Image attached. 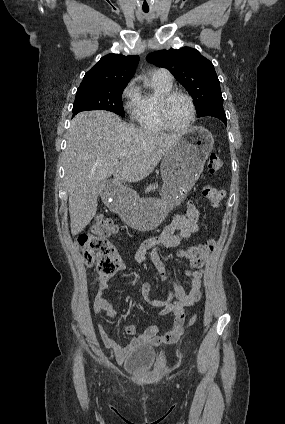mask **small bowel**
<instances>
[{
  "instance_id": "1",
  "label": "small bowel",
  "mask_w": 285,
  "mask_h": 424,
  "mask_svg": "<svg viewBox=\"0 0 285 424\" xmlns=\"http://www.w3.org/2000/svg\"><path fill=\"white\" fill-rule=\"evenodd\" d=\"M200 213L193 202L188 203L186 214H174L171 222L163 229L158 236L150 237L144 240L135 252V260L140 263L148 261L147 253L150 252V261L155 267L159 278L167 282L170 286L168 298L166 301L156 300L151 297V286L144 283L140 287V293L143 300L152 307H161L160 315L175 317L172 328L164 335H158L157 326H149L139 335H135V330L131 327H124L125 331L132 336L128 345L118 344L111 334L106 330L103 324H99V334L104 346L109 349L116 357L119 363H123L127 354L134 348L150 345L159 346L176 341L184 331V310L192 306L201 298V286L204 276L203 264L195 266L194 270H185L184 276L188 280L189 289L170 279L171 271L164 265L160 259V250L162 248H173L178 246L183 239L189 238L199 231ZM121 261V268L125 269V264ZM96 289V295L93 301V313L95 315H105L116 319L118 313L113 304L107 299L106 292L110 285L108 280L98 276L92 283ZM181 321L180 327L177 322Z\"/></svg>"
}]
</instances>
